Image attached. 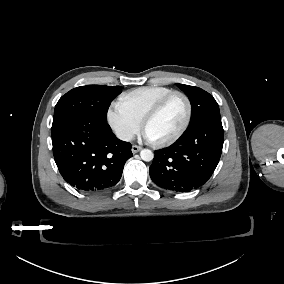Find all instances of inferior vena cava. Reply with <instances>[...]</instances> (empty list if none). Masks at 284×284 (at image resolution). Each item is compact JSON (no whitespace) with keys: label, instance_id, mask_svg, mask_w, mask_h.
Masks as SVG:
<instances>
[{"label":"inferior vena cava","instance_id":"1","mask_svg":"<svg viewBox=\"0 0 284 284\" xmlns=\"http://www.w3.org/2000/svg\"><path fill=\"white\" fill-rule=\"evenodd\" d=\"M120 134L126 139V140H130L132 139V134L126 131H122L120 132Z\"/></svg>","mask_w":284,"mask_h":284}]
</instances>
